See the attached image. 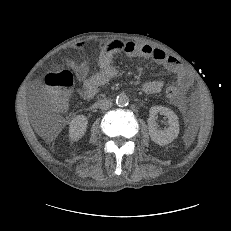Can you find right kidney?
Segmentation results:
<instances>
[{"instance_id":"1","label":"right kidney","mask_w":231,"mask_h":231,"mask_svg":"<svg viewBox=\"0 0 231 231\" xmlns=\"http://www.w3.org/2000/svg\"><path fill=\"white\" fill-rule=\"evenodd\" d=\"M88 120L84 115L75 116L70 122L69 136L73 141L82 138L86 132Z\"/></svg>"}]
</instances>
